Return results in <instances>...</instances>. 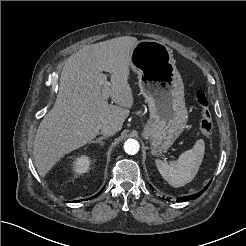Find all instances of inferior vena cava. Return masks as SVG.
<instances>
[{"label": "inferior vena cava", "mask_w": 246, "mask_h": 246, "mask_svg": "<svg viewBox=\"0 0 246 246\" xmlns=\"http://www.w3.org/2000/svg\"><path fill=\"white\" fill-rule=\"evenodd\" d=\"M117 132L116 127L110 124L103 125L101 128V134L104 136H112Z\"/></svg>", "instance_id": "602c4592"}]
</instances>
